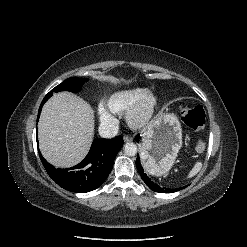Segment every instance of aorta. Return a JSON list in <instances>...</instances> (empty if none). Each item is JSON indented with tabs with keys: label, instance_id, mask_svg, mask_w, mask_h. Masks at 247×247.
I'll use <instances>...</instances> for the list:
<instances>
[{
	"label": "aorta",
	"instance_id": "obj_1",
	"mask_svg": "<svg viewBox=\"0 0 247 247\" xmlns=\"http://www.w3.org/2000/svg\"><path fill=\"white\" fill-rule=\"evenodd\" d=\"M124 153L127 156H135L137 153V146L134 143H126L124 145Z\"/></svg>",
	"mask_w": 247,
	"mask_h": 247
}]
</instances>
